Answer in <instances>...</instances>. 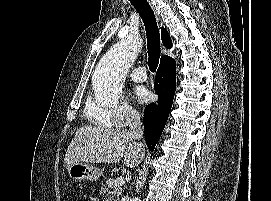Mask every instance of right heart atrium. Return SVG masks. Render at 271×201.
Wrapping results in <instances>:
<instances>
[{
  "instance_id": "right-heart-atrium-1",
  "label": "right heart atrium",
  "mask_w": 271,
  "mask_h": 201,
  "mask_svg": "<svg viewBox=\"0 0 271 201\" xmlns=\"http://www.w3.org/2000/svg\"><path fill=\"white\" fill-rule=\"evenodd\" d=\"M86 115L91 122L97 125L114 127L130 126L140 120L139 112L127 102H122L109 109L101 106L95 99L89 101Z\"/></svg>"
}]
</instances>
